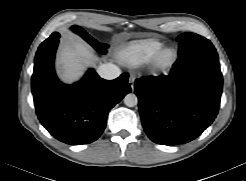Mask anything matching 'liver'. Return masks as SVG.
I'll use <instances>...</instances> for the list:
<instances>
[{
  "label": "liver",
  "instance_id": "1",
  "mask_svg": "<svg viewBox=\"0 0 246 181\" xmlns=\"http://www.w3.org/2000/svg\"><path fill=\"white\" fill-rule=\"evenodd\" d=\"M94 59L90 47L81 41L72 39L64 43L58 57L62 80L67 83L76 81Z\"/></svg>",
  "mask_w": 246,
  "mask_h": 181
}]
</instances>
